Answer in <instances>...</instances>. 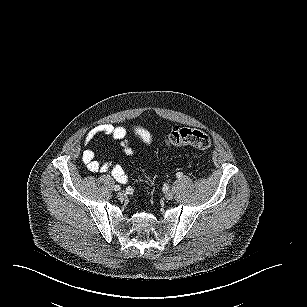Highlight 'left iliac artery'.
I'll list each match as a JSON object with an SVG mask.
<instances>
[{
  "mask_svg": "<svg viewBox=\"0 0 307 307\" xmlns=\"http://www.w3.org/2000/svg\"><path fill=\"white\" fill-rule=\"evenodd\" d=\"M176 177L179 179H181L183 177V173L182 172H177L176 173Z\"/></svg>",
  "mask_w": 307,
  "mask_h": 307,
  "instance_id": "44dca946",
  "label": "left iliac artery"
}]
</instances>
